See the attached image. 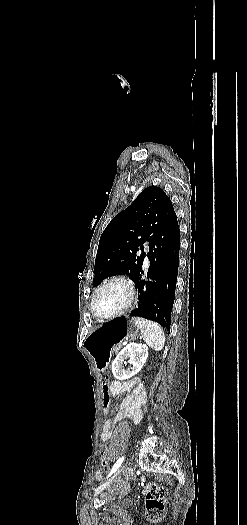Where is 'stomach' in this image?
Here are the masks:
<instances>
[{"label":"stomach","mask_w":247,"mask_h":525,"mask_svg":"<svg viewBox=\"0 0 247 525\" xmlns=\"http://www.w3.org/2000/svg\"><path fill=\"white\" fill-rule=\"evenodd\" d=\"M138 326L128 317H117L94 328L84 343L87 353L93 358L95 367L104 371L112 355V348L124 339L138 334Z\"/></svg>","instance_id":"stomach-1"}]
</instances>
